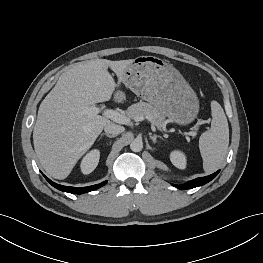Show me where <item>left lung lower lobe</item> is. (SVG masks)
<instances>
[{"mask_svg":"<svg viewBox=\"0 0 263 263\" xmlns=\"http://www.w3.org/2000/svg\"><path fill=\"white\" fill-rule=\"evenodd\" d=\"M220 171V170H219ZM219 171L209 175V176H206V177H200V178H196L192 181H189L187 182L186 184L184 185H173L175 187H177L178 189H191V188H195V187H198V186H202L206 183H208L209 181H211L213 178L216 177V175L219 173Z\"/></svg>","mask_w":263,"mask_h":263,"instance_id":"0a47b994","label":"left lung lower lobe"}]
</instances>
